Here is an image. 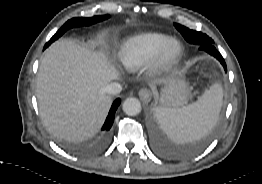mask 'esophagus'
<instances>
[{"label":"esophagus","instance_id":"34e87169","mask_svg":"<svg viewBox=\"0 0 262 184\" xmlns=\"http://www.w3.org/2000/svg\"><path fill=\"white\" fill-rule=\"evenodd\" d=\"M139 97L143 103H148L152 98V93L149 89L143 88L139 91Z\"/></svg>","mask_w":262,"mask_h":184}]
</instances>
